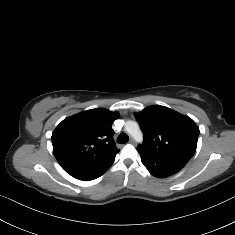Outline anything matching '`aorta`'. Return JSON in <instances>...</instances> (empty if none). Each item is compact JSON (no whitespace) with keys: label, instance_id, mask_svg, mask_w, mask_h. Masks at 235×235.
<instances>
[{"label":"aorta","instance_id":"obj_1","mask_svg":"<svg viewBox=\"0 0 235 235\" xmlns=\"http://www.w3.org/2000/svg\"><path fill=\"white\" fill-rule=\"evenodd\" d=\"M127 132L130 133L135 139L141 136V132L139 131V127L137 123H127Z\"/></svg>","mask_w":235,"mask_h":235}]
</instances>
